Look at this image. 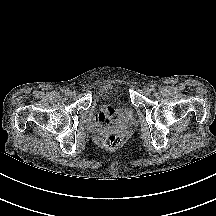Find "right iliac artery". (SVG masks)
Returning <instances> with one entry per match:
<instances>
[{
  "instance_id": "obj_1",
  "label": "right iliac artery",
  "mask_w": 216,
  "mask_h": 216,
  "mask_svg": "<svg viewBox=\"0 0 216 216\" xmlns=\"http://www.w3.org/2000/svg\"><path fill=\"white\" fill-rule=\"evenodd\" d=\"M64 93H65V95H70V91L69 90H65Z\"/></svg>"
}]
</instances>
